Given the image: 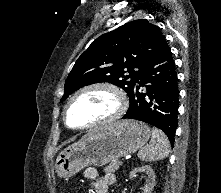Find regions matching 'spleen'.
I'll list each match as a JSON object with an SVG mask.
<instances>
[{"instance_id": "3e777b00", "label": "spleen", "mask_w": 221, "mask_h": 193, "mask_svg": "<svg viewBox=\"0 0 221 193\" xmlns=\"http://www.w3.org/2000/svg\"><path fill=\"white\" fill-rule=\"evenodd\" d=\"M170 144L167 136L158 128H152V138L139 152L138 157L145 162L162 160L169 155Z\"/></svg>"}]
</instances>
